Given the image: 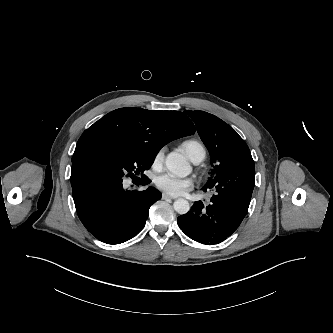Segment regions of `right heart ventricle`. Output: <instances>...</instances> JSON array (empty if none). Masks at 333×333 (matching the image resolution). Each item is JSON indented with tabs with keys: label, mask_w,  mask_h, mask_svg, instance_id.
<instances>
[{
	"label": "right heart ventricle",
	"mask_w": 333,
	"mask_h": 333,
	"mask_svg": "<svg viewBox=\"0 0 333 333\" xmlns=\"http://www.w3.org/2000/svg\"><path fill=\"white\" fill-rule=\"evenodd\" d=\"M180 146L192 162L202 161L206 156L204 145L195 139L184 140Z\"/></svg>",
	"instance_id": "obj_1"
}]
</instances>
